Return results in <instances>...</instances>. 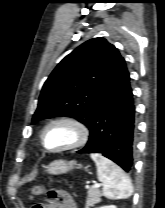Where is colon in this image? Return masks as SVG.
<instances>
[{
    "label": "colon",
    "instance_id": "5ec220e1",
    "mask_svg": "<svg viewBox=\"0 0 165 208\" xmlns=\"http://www.w3.org/2000/svg\"><path fill=\"white\" fill-rule=\"evenodd\" d=\"M43 192H44V189L42 186H34L30 189L31 197L42 195ZM32 208H40V206H39V204H35V205H33Z\"/></svg>",
    "mask_w": 165,
    "mask_h": 208
}]
</instances>
